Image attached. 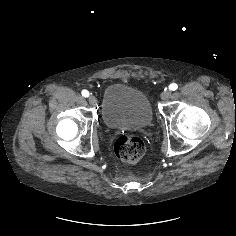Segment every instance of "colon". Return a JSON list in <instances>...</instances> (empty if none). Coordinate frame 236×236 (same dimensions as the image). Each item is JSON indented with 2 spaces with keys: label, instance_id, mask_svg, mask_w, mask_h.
Wrapping results in <instances>:
<instances>
[{
  "label": "colon",
  "instance_id": "1",
  "mask_svg": "<svg viewBox=\"0 0 236 236\" xmlns=\"http://www.w3.org/2000/svg\"><path fill=\"white\" fill-rule=\"evenodd\" d=\"M115 152L123 162L133 164L143 158L146 152V145L140 136L124 134L117 138Z\"/></svg>",
  "mask_w": 236,
  "mask_h": 236
}]
</instances>
